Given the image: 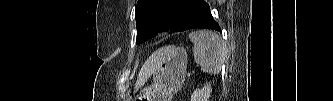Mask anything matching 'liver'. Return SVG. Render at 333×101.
<instances>
[{
    "label": "liver",
    "mask_w": 333,
    "mask_h": 101,
    "mask_svg": "<svg viewBox=\"0 0 333 101\" xmlns=\"http://www.w3.org/2000/svg\"><path fill=\"white\" fill-rule=\"evenodd\" d=\"M159 52L158 50L156 53H154L143 65L139 75L138 79L135 85V89H138L144 85V83L148 80V78L157 70L159 65Z\"/></svg>",
    "instance_id": "6515ba94"
}]
</instances>
